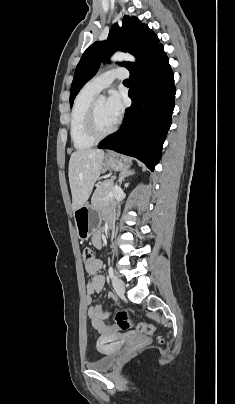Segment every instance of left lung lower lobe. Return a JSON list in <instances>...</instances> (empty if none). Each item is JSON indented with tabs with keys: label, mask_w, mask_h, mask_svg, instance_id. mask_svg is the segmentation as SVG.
<instances>
[{
	"label": "left lung lower lobe",
	"mask_w": 235,
	"mask_h": 404,
	"mask_svg": "<svg viewBox=\"0 0 235 404\" xmlns=\"http://www.w3.org/2000/svg\"><path fill=\"white\" fill-rule=\"evenodd\" d=\"M130 79L132 105L126 109L120 129L98 148L136 157L153 171L171 125L176 92L163 46L131 71Z\"/></svg>",
	"instance_id": "left-lung-lower-lobe-1"
}]
</instances>
